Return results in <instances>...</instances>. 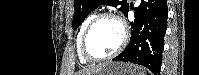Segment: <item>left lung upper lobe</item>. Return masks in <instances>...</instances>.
Returning a JSON list of instances; mask_svg holds the SVG:
<instances>
[{"label": "left lung upper lobe", "instance_id": "1", "mask_svg": "<svg viewBox=\"0 0 199 75\" xmlns=\"http://www.w3.org/2000/svg\"><path fill=\"white\" fill-rule=\"evenodd\" d=\"M75 13L72 21L73 29H77L83 20L98 6L110 5L117 7L125 15L129 4L126 0H75Z\"/></svg>", "mask_w": 199, "mask_h": 75}]
</instances>
